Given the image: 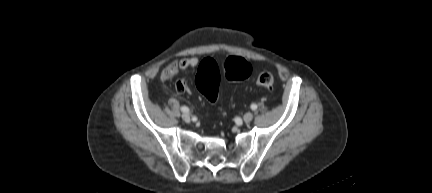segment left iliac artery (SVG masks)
Here are the masks:
<instances>
[{"label": "left iliac artery", "mask_w": 432, "mask_h": 193, "mask_svg": "<svg viewBox=\"0 0 432 193\" xmlns=\"http://www.w3.org/2000/svg\"><path fill=\"white\" fill-rule=\"evenodd\" d=\"M251 109H252V110H256V109H257V105H256V104H252V105H251Z\"/></svg>", "instance_id": "obj_1"}]
</instances>
